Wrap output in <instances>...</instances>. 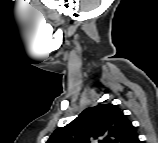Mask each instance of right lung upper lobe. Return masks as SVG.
<instances>
[{"label": "right lung upper lobe", "instance_id": "right-lung-upper-lobe-1", "mask_svg": "<svg viewBox=\"0 0 158 143\" xmlns=\"http://www.w3.org/2000/svg\"><path fill=\"white\" fill-rule=\"evenodd\" d=\"M95 139L99 143H136L138 135L117 105L99 104L56 129L47 143H91Z\"/></svg>", "mask_w": 158, "mask_h": 143}]
</instances>
